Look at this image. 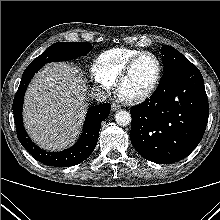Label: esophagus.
Masks as SVG:
<instances>
[{
	"mask_svg": "<svg viewBox=\"0 0 220 220\" xmlns=\"http://www.w3.org/2000/svg\"><path fill=\"white\" fill-rule=\"evenodd\" d=\"M111 109H112V111H117V110L120 109V106H118V105L115 104V103H112V105H111Z\"/></svg>",
	"mask_w": 220,
	"mask_h": 220,
	"instance_id": "1",
	"label": "esophagus"
}]
</instances>
